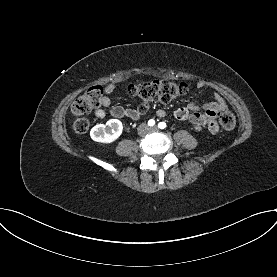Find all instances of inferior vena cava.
Listing matches in <instances>:
<instances>
[{
    "label": "inferior vena cava",
    "mask_w": 277,
    "mask_h": 277,
    "mask_svg": "<svg viewBox=\"0 0 277 277\" xmlns=\"http://www.w3.org/2000/svg\"><path fill=\"white\" fill-rule=\"evenodd\" d=\"M142 128H143V125H140V126H139V128H138V132H139V134H141V130H142Z\"/></svg>",
    "instance_id": "inferior-vena-cava-1"
}]
</instances>
